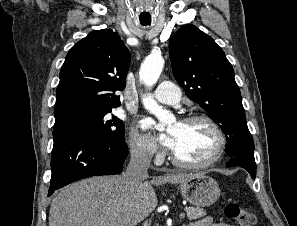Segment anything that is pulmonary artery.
Segmentation results:
<instances>
[{
  "label": "pulmonary artery",
  "mask_w": 297,
  "mask_h": 226,
  "mask_svg": "<svg viewBox=\"0 0 297 226\" xmlns=\"http://www.w3.org/2000/svg\"><path fill=\"white\" fill-rule=\"evenodd\" d=\"M154 98L159 103L176 105L181 99V91L172 82L162 81L154 92Z\"/></svg>",
  "instance_id": "e3ab8cb5"
}]
</instances>
